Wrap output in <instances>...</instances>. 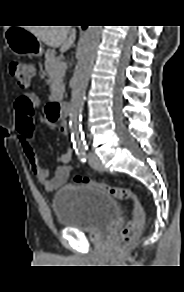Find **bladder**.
Instances as JSON below:
<instances>
[{"label": "bladder", "mask_w": 184, "mask_h": 292, "mask_svg": "<svg viewBox=\"0 0 184 292\" xmlns=\"http://www.w3.org/2000/svg\"><path fill=\"white\" fill-rule=\"evenodd\" d=\"M53 211L62 227L85 233H100L118 217V203L112 195L87 184H66L56 193Z\"/></svg>", "instance_id": "1"}]
</instances>
